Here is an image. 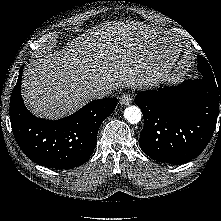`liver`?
I'll return each mask as SVG.
<instances>
[{"instance_id":"liver-1","label":"liver","mask_w":221,"mask_h":221,"mask_svg":"<svg viewBox=\"0 0 221 221\" xmlns=\"http://www.w3.org/2000/svg\"><path fill=\"white\" fill-rule=\"evenodd\" d=\"M153 34L143 24L121 21L87 30L29 64L22 79L24 103L38 117L60 119L92 100L94 89L152 86L160 65Z\"/></svg>"}]
</instances>
